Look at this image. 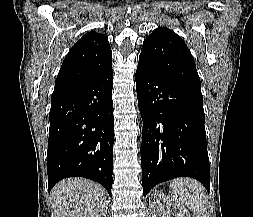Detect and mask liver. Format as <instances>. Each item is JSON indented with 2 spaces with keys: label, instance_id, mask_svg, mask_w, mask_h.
Segmentation results:
<instances>
[{
  "label": "liver",
  "instance_id": "1",
  "mask_svg": "<svg viewBox=\"0 0 253 217\" xmlns=\"http://www.w3.org/2000/svg\"><path fill=\"white\" fill-rule=\"evenodd\" d=\"M55 217H106L107 192L85 178H67L50 193Z\"/></svg>",
  "mask_w": 253,
  "mask_h": 217
}]
</instances>
